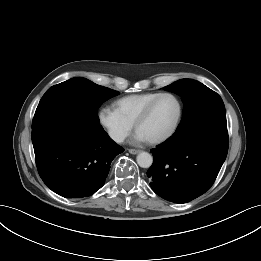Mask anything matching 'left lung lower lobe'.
<instances>
[{"mask_svg":"<svg viewBox=\"0 0 261 261\" xmlns=\"http://www.w3.org/2000/svg\"><path fill=\"white\" fill-rule=\"evenodd\" d=\"M151 152L154 162L147 176L153 191L168 201L187 203L212 186L226 159V119L174 133Z\"/></svg>","mask_w":261,"mask_h":261,"instance_id":"left-lung-lower-lobe-1","label":"left lung lower lobe"}]
</instances>
